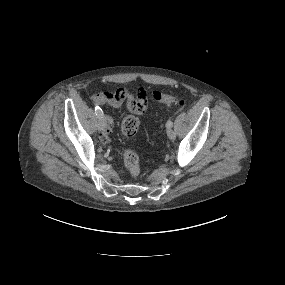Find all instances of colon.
Instances as JSON below:
<instances>
[{"label": "colon", "instance_id": "1", "mask_svg": "<svg viewBox=\"0 0 285 285\" xmlns=\"http://www.w3.org/2000/svg\"><path fill=\"white\" fill-rule=\"evenodd\" d=\"M141 93L142 89H138V94ZM153 98L167 107H175L182 103V99L180 97L159 91L154 92ZM139 126V119L134 115H128L124 117L121 122V132L124 136L131 137L137 133ZM123 159L126 168L133 175H137L139 173V157L136 152L131 149H126L123 153Z\"/></svg>", "mask_w": 285, "mask_h": 285}]
</instances>
